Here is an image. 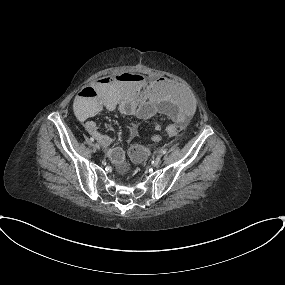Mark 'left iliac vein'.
<instances>
[{
	"label": "left iliac vein",
	"instance_id": "left-iliac-vein-1",
	"mask_svg": "<svg viewBox=\"0 0 285 285\" xmlns=\"http://www.w3.org/2000/svg\"><path fill=\"white\" fill-rule=\"evenodd\" d=\"M161 162V155H158L156 158H155V165H159Z\"/></svg>",
	"mask_w": 285,
	"mask_h": 285
}]
</instances>
